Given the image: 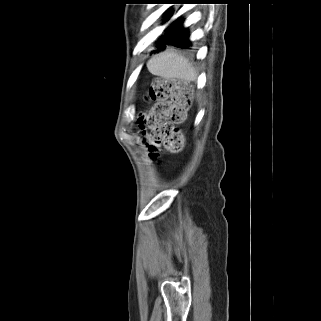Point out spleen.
Returning a JSON list of instances; mask_svg holds the SVG:
<instances>
[{"mask_svg": "<svg viewBox=\"0 0 321 321\" xmlns=\"http://www.w3.org/2000/svg\"><path fill=\"white\" fill-rule=\"evenodd\" d=\"M149 72L165 79L195 81L197 74L194 66L184 56L174 51L154 55L148 62Z\"/></svg>", "mask_w": 321, "mask_h": 321, "instance_id": "1", "label": "spleen"}]
</instances>
